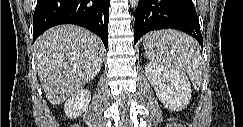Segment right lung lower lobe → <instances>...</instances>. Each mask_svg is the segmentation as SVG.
<instances>
[{
	"label": "right lung lower lobe",
	"mask_w": 243,
	"mask_h": 127,
	"mask_svg": "<svg viewBox=\"0 0 243 127\" xmlns=\"http://www.w3.org/2000/svg\"><path fill=\"white\" fill-rule=\"evenodd\" d=\"M110 0H38L33 15V42L47 29L76 24L97 34L108 44Z\"/></svg>",
	"instance_id": "obj_1"
}]
</instances>
